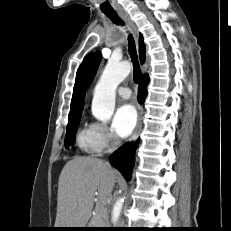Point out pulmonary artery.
I'll return each mask as SVG.
<instances>
[{"label": "pulmonary artery", "instance_id": "e3ab8cb5", "mask_svg": "<svg viewBox=\"0 0 231 231\" xmlns=\"http://www.w3.org/2000/svg\"><path fill=\"white\" fill-rule=\"evenodd\" d=\"M118 95L124 99H128L131 96V90L128 87L121 86L117 90Z\"/></svg>", "mask_w": 231, "mask_h": 231}]
</instances>
